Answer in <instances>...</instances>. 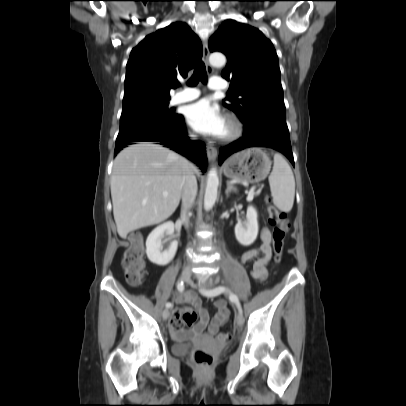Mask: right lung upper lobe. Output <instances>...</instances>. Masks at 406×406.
Wrapping results in <instances>:
<instances>
[{"label":"right lung upper lobe","mask_w":406,"mask_h":406,"mask_svg":"<svg viewBox=\"0 0 406 406\" xmlns=\"http://www.w3.org/2000/svg\"><path fill=\"white\" fill-rule=\"evenodd\" d=\"M202 44L183 22L146 36L132 49L126 66L123 106L143 100L170 99L177 76L187 73L202 57Z\"/></svg>","instance_id":"right-lung-upper-lobe-1"}]
</instances>
